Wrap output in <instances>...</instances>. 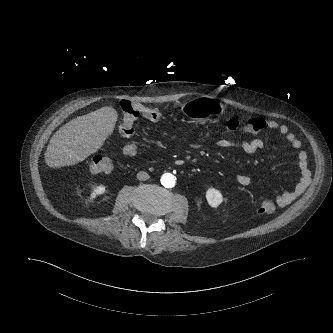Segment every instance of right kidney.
I'll return each instance as SVG.
<instances>
[{
	"label": "right kidney",
	"mask_w": 333,
	"mask_h": 333,
	"mask_svg": "<svg viewBox=\"0 0 333 333\" xmlns=\"http://www.w3.org/2000/svg\"><path fill=\"white\" fill-rule=\"evenodd\" d=\"M106 192V187L103 185H99L93 188L91 192V198H96L98 195H102Z\"/></svg>",
	"instance_id": "1"
}]
</instances>
